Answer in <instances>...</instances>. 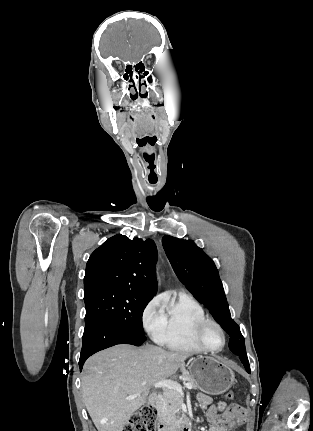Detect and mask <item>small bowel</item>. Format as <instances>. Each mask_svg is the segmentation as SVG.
Returning a JSON list of instances; mask_svg holds the SVG:
<instances>
[{"label":"small bowel","instance_id":"1","mask_svg":"<svg viewBox=\"0 0 313 431\" xmlns=\"http://www.w3.org/2000/svg\"><path fill=\"white\" fill-rule=\"evenodd\" d=\"M197 399L209 422L207 431H231L246 421L245 411L238 404L227 405L223 401L212 404V399L203 393L198 394Z\"/></svg>","mask_w":313,"mask_h":431}]
</instances>
